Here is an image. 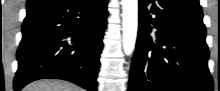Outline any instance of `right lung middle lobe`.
Masks as SVG:
<instances>
[{
  "mask_svg": "<svg viewBox=\"0 0 220 91\" xmlns=\"http://www.w3.org/2000/svg\"><path fill=\"white\" fill-rule=\"evenodd\" d=\"M31 3L29 2V0H28V2H27V5H30Z\"/></svg>",
  "mask_w": 220,
  "mask_h": 91,
  "instance_id": "dd1d6c3e",
  "label": "right lung middle lobe"
}]
</instances>
